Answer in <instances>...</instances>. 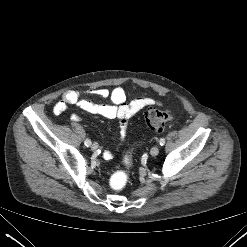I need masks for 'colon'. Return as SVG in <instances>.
<instances>
[{"instance_id": "5ec220e1", "label": "colon", "mask_w": 247, "mask_h": 247, "mask_svg": "<svg viewBox=\"0 0 247 247\" xmlns=\"http://www.w3.org/2000/svg\"><path fill=\"white\" fill-rule=\"evenodd\" d=\"M174 116L168 112L149 108L146 112V124L154 131L162 132L167 126L174 122ZM124 163L126 168L115 171L109 179L111 188L122 189L129 181V168L132 166V159L129 154L125 155Z\"/></svg>"}]
</instances>
